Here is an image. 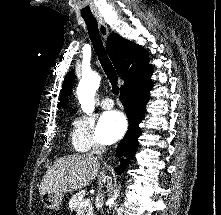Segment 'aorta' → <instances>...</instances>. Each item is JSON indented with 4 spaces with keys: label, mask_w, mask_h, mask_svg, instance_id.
I'll list each match as a JSON object with an SVG mask.
<instances>
[{
    "label": "aorta",
    "mask_w": 221,
    "mask_h": 215,
    "mask_svg": "<svg viewBox=\"0 0 221 215\" xmlns=\"http://www.w3.org/2000/svg\"><path fill=\"white\" fill-rule=\"evenodd\" d=\"M100 76L97 73H90L84 75L80 80L78 87H77V96L79 103L81 104L82 110L87 113L91 114L94 111L95 106V94L97 89L100 85ZM117 197V192L115 196L110 198L108 203L111 207L114 204V200Z\"/></svg>",
    "instance_id": "aorta-1"
}]
</instances>
